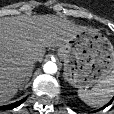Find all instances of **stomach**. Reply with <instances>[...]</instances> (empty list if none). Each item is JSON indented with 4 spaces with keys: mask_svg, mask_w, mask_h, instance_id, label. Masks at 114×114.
Instances as JSON below:
<instances>
[{
    "mask_svg": "<svg viewBox=\"0 0 114 114\" xmlns=\"http://www.w3.org/2000/svg\"><path fill=\"white\" fill-rule=\"evenodd\" d=\"M64 77L78 88L98 83L114 71V47L103 34L85 29L58 49Z\"/></svg>",
    "mask_w": 114,
    "mask_h": 114,
    "instance_id": "1",
    "label": "stomach"
}]
</instances>
